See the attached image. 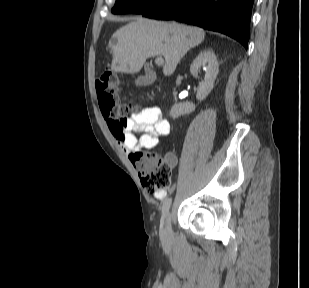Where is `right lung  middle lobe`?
Segmentation results:
<instances>
[{
    "instance_id": "1",
    "label": "right lung middle lobe",
    "mask_w": 309,
    "mask_h": 288,
    "mask_svg": "<svg viewBox=\"0 0 309 288\" xmlns=\"http://www.w3.org/2000/svg\"><path fill=\"white\" fill-rule=\"evenodd\" d=\"M165 0H116L112 9L113 14L136 13L142 14L145 11L157 6Z\"/></svg>"
}]
</instances>
